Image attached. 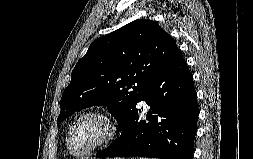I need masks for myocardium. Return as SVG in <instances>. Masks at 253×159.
I'll list each match as a JSON object with an SVG mask.
<instances>
[{"mask_svg": "<svg viewBox=\"0 0 253 159\" xmlns=\"http://www.w3.org/2000/svg\"><path fill=\"white\" fill-rule=\"evenodd\" d=\"M90 115L100 116L106 121L107 127H108L107 133L96 144H94L92 147H90L86 151L76 152L72 149V147L70 145L73 130L80 120H82L83 118L90 116ZM119 129H120V127H119V124H118L116 118L107 109L97 107V108H90L88 110H85L75 117V119L72 121V123L70 124V126L67 130V134H66L67 150L69 151V153L71 155L76 156V157L88 156V155L92 154L93 152L97 151L98 149L111 143L118 136Z\"/></svg>", "mask_w": 253, "mask_h": 159, "instance_id": "1", "label": "myocardium"}]
</instances>
